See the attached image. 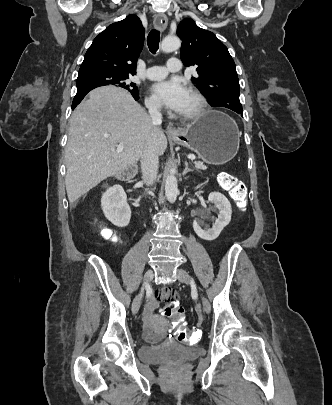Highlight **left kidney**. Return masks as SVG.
<instances>
[{
    "mask_svg": "<svg viewBox=\"0 0 332 405\" xmlns=\"http://www.w3.org/2000/svg\"><path fill=\"white\" fill-rule=\"evenodd\" d=\"M208 201L213 203L219 210L218 218L213 223L212 228L206 230L201 228V226H204V222L202 220H194L193 229L201 239L213 241L220 235L225 226L230 223L232 208L229 200L219 192L210 193ZM203 217L210 218L207 213H204Z\"/></svg>",
    "mask_w": 332,
    "mask_h": 405,
    "instance_id": "5707ae66",
    "label": "left kidney"
}]
</instances>
